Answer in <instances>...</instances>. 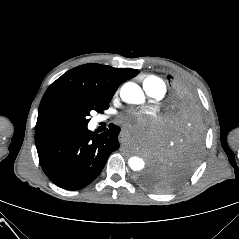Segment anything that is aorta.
Listing matches in <instances>:
<instances>
[{
    "mask_svg": "<svg viewBox=\"0 0 239 239\" xmlns=\"http://www.w3.org/2000/svg\"><path fill=\"white\" fill-rule=\"evenodd\" d=\"M120 96L123 101L133 104L142 103L145 99L140 86L133 82H127L122 86ZM128 164L134 171H140L145 166L144 160L137 156L130 157Z\"/></svg>",
    "mask_w": 239,
    "mask_h": 239,
    "instance_id": "762f6f07",
    "label": "aorta"
}]
</instances>
